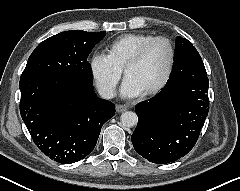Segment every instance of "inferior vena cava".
Wrapping results in <instances>:
<instances>
[{
	"label": "inferior vena cava",
	"mask_w": 240,
	"mask_h": 191,
	"mask_svg": "<svg viewBox=\"0 0 240 191\" xmlns=\"http://www.w3.org/2000/svg\"><path fill=\"white\" fill-rule=\"evenodd\" d=\"M98 92L103 99H111L115 96V91L112 88H100Z\"/></svg>",
	"instance_id": "1"
}]
</instances>
